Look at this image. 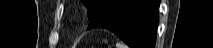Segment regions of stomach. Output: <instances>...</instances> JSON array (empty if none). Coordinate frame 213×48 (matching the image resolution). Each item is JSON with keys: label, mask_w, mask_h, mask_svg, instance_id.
Wrapping results in <instances>:
<instances>
[{"label": "stomach", "mask_w": 213, "mask_h": 48, "mask_svg": "<svg viewBox=\"0 0 213 48\" xmlns=\"http://www.w3.org/2000/svg\"><path fill=\"white\" fill-rule=\"evenodd\" d=\"M97 32H99V33H107V31H105V30H98Z\"/></svg>", "instance_id": "stomach-1"}]
</instances>
